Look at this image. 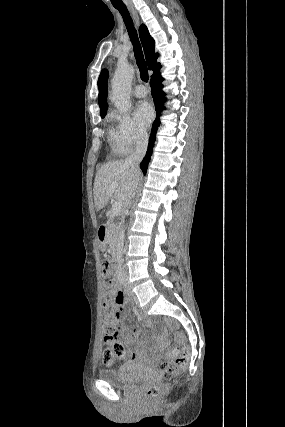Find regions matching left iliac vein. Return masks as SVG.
Here are the masks:
<instances>
[{"mask_svg": "<svg viewBox=\"0 0 285 427\" xmlns=\"http://www.w3.org/2000/svg\"><path fill=\"white\" fill-rule=\"evenodd\" d=\"M125 292L127 293V294H132V289H131V286H130V284L128 283V281H127V277L125 276Z\"/></svg>", "mask_w": 285, "mask_h": 427, "instance_id": "left-iliac-vein-1", "label": "left iliac vein"}]
</instances>
